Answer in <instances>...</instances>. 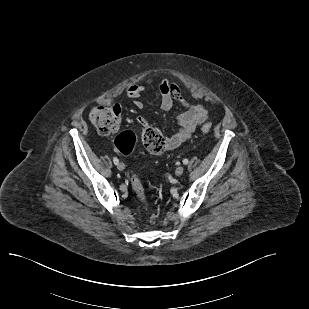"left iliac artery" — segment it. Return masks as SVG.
Masks as SVG:
<instances>
[{
	"label": "left iliac artery",
	"mask_w": 309,
	"mask_h": 309,
	"mask_svg": "<svg viewBox=\"0 0 309 309\" xmlns=\"http://www.w3.org/2000/svg\"><path fill=\"white\" fill-rule=\"evenodd\" d=\"M183 164L187 165L188 164V159L183 160Z\"/></svg>",
	"instance_id": "left-iliac-artery-1"
}]
</instances>
